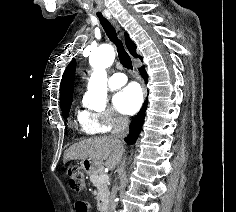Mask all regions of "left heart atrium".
Returning a JSON list of instances; mask_svg holds the SVG:
<instances>
[{
	"label": "left heart atrium",
	"instance_id": "obj_1",
	"mask_svg": "<svg viewBox=\"0 0 236 212\" xmlns=\"http://www.w3.org/2000/svg\"><path fill=\"white\" fill-rule=\"evenodd\" d=\"M116 109L125 115L135 114L141 107L143 94L137 84H129L114 96Z\"/></svg>",
	"mask_w": 236,
	"mask_h": 212
}]
</instances>
